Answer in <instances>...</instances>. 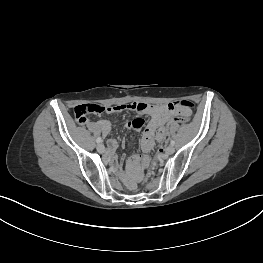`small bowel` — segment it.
<instances>
[{
    "label": "small bowel",
    "instance_id": "obj_1",
    "mask_svg": "<svg viewBox=\"0 0 263 263\" xmlns=\"http://www.w3.org/2000/svg\"><path fill=\"white\" fill-rule=\"evenodd\" d=\"M122 110H131L139 115L148 116L150 118L142 138V147L145 152H149L155 141L162 142L165 139L164 125L172 117L189 116L192 113V107L189 104H167V105H154L143 102H131L123 105H116L107 107V113H116ZM86 123V122H84ZM82 123V124H84ZM145 122L142 118H134L126 122V127L133 130H141ZM102 136L109 134L111 130V124L107 120H98L95 123ZM119 146V142L116 139H109L107 142V154L113 155ZM140 160L139 157L132 159V164L135 165Z\"/></svg>",
    "mask_w": 263,
    "mask_h": 263
}]
</instances>
